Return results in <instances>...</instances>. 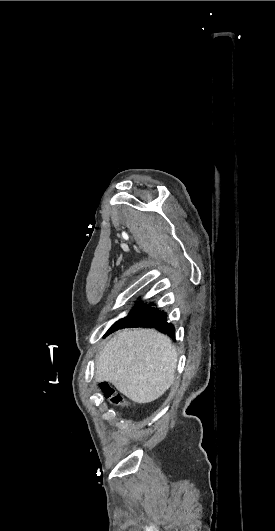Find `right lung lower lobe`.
<instances>
[{"label": "right lung lower lobe", "instance_id": "1", "mask_svg": "<svg viewBox=\"0 0 275 531\" xmlns=\"http://www.w3.org/2000/svg\"><path fill=\"white\" fill-rule=\"evenodd\" d=\"M153 303H137L129 312L127 317L117 321L107 333H112L125 327H154L170 337H174L175 328L173 324L167 322L166 314L157 308L152 307Z\"/></svg>", "mask_w": 275, "mask_h": 531}]
</instances>
